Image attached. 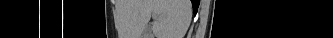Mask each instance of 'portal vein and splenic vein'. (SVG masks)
<instances>
[{"instance_id": "1", "label": "portal vein and splenic vein", "mask_w": 333, "mask_h": 38, "mask_svg": "<svg viewBox=\"0 0 333 38\" xmlns=\"http://www.w3.org/2000/svg\"><path fill=\"white\" fill-rule=\"evenodd\" d=\"M152 17L155 18V15L153 14Z\"/></svg>"}]
</instances>
